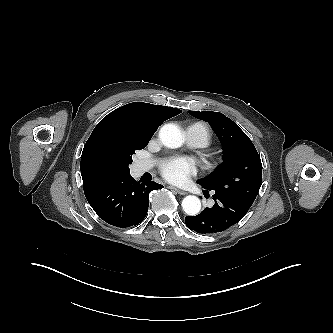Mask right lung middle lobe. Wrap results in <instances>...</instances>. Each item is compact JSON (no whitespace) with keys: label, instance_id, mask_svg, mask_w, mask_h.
I'll use <instances>...</instances> for the list:
<instances>
[{"label":"right lung middle lobe","instance_id":"dd1d6c3e","mask_svg":"<svg viewBox=\"0 0 333 333\" xmlns=\"http://www.w3.org/2000/svg\"><path fill=\"white\" fill-rule=\"evenodd\" d=\"M149 139H143L122 133L107 131L98 140L96 157L108 170L109 175L130 174L129 165L136 150L147 146Z\"/></svg>","mask_w":333,"mask_h":333}]
</instances>
